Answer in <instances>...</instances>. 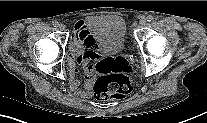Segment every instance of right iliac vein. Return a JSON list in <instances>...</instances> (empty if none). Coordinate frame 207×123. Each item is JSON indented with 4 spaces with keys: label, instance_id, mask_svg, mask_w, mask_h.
Masks as SVG:
<instances>
[{
    "label": "right iliac vein",
    "instance_id": "1",
    "mask_svg": "<svg viewBox=\"0 0 207 123\" xmlns=\"http://www.w3.org/2000/svg\"><path fill=\"white\" fill-rule=\"evenodd\" d=\"M59 29H60L61 31H64V30L66 29V27H65L64 24H60V25H59Z\"/></svg>",
    "mask_w": 207,
    "mask_h": 123
}]
</instances>
